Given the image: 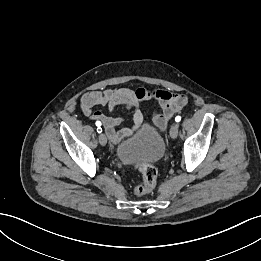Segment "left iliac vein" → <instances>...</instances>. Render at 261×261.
<instances>
[{"instance_id":"left-iliac-vein-1","label":"left iliac vein","mask_w":261,"mask_h":261,"mask_svg":"<svg viewBox=\"0 0 261 261\" xmlns=\"http://www.w3.org/2000/svg\"><path fill=\"white\" fill-rule=\"evenodd\" d=\"M179 125L177 123L173 124L170 128V136L175 139L178 136Z\"/></svg>"}]
</instances>
